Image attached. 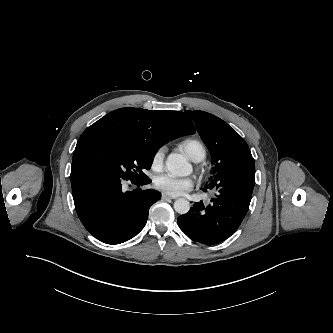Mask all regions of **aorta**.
I'll return each mask as SVG.
<instances>
[{
    "mask_svg": "<svg viewBox=\"0 0 333 333\" xmlns=\"http://www.w3.org/2000/svg\"><path fill=\"white\" fill-rule=\"evenodd\" d=\"M167 170L174 176L185 177L190 174L192 167L184 156L178 153H171L166 160ZM174 209L179 214H186L190 209V203L183 198L174 202Z\"/></svg>",
    "mask_w": 333,
    "mask_h": 333,
    "instance_id": "aorta-1",
    "label": "aorta"
}]
</instances>
